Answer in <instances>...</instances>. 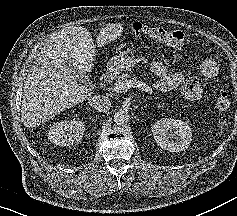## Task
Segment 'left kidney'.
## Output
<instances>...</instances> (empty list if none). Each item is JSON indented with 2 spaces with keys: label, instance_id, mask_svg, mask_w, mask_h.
<instances>
[{
  "label": "left kidney",
  "instance_id": "obj_1",
  "mask_svg": "<svg viewBox=\"0 0 237 216\" xmlns=\"http://www.w3.org/2000/svg\"><path fill=\"white\" fill-rule=\"evenodd\" d=\"M152 133L157 145L170 152L183 151L192 141L191 127L181 120L160 119L152 126Z\"/></svg>",
  "mask_w": 237,
  "mask_h": 216
}]
</instances>
